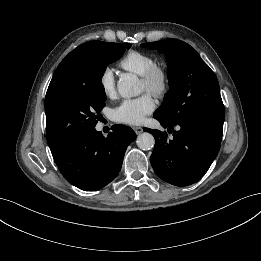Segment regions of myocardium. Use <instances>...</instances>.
<instances>
[{
  "label": "myocardium",
  "instance_id": "myocardium-1",
  "mask_svg": "<svg viewBox=\"0 0 261 261\" xmlns=\"http://www.w3.org/2000/svg\"><path fill=\"white\" fill-rule=\"evenodd\" d=\"M142 82L148 93L162 97L170 87L169 72L165 66L156 63L142 76Z\"/></svg>",
  "mask_w": 261,
  "mask_h": 261
}]
</instances>
